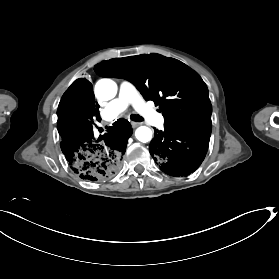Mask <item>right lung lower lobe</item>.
Listing matches in <instances>:
<instances>
[{"mask_svg": "<svg viewBox=\"0 0 279 279\" xmlns=\"http://www.w3.org/2000/svg\"><path fill=\"white\" fill-rule=\"evenodd\" d=\"M92 84L76 80L64 93L58 106L57 128L62 141L61 150L70 168L80 178L103 182L120 169L128 138L129 122L117 120L108 133L93 136V117L99 118Z\"/></svg>", "mask_w": 279, "mask_h": 279, "instance_id": "98d812e1", "label": "right lung lower lobe"}]
</instances>
